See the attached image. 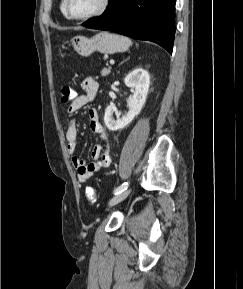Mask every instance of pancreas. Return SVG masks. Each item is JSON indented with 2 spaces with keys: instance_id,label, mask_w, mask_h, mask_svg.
<instances>
[{
  "instance_id": "obj_1",
  "label": "pancreas",
  "mask_w": 243,
  "mask_h": 289,
  "mask_svg": "<svg viewBox=\"0 0 243 289\" xmlns=\"http://www.w3.org/2000/svg\"><path fill=\"white\" fill-rule=\"evenodd\" d=\"M110 69H111L110 67L109 68H103L101 70V75H103V76L108 75L110 73Z\"/></svg>"
}]
</instances>
